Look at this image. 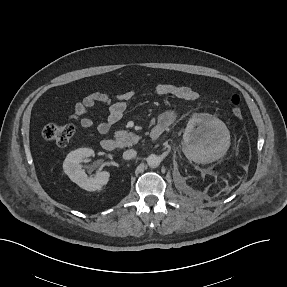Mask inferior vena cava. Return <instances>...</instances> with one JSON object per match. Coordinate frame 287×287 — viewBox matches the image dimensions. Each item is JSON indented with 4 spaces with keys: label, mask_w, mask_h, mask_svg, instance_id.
I'll use <instances>...</instances> for the list:
<instances>
[{
    "label": "inferior vena cava",
    "mask_w": 287,
    "mask_h": 287,
    "mask_svg": "<svg viewBox=\"0 0 287 287\" xmlns=\"http://www.w3.org/2000/svg\"><path fill=\"white\" fill-rule=\"evenodd\" d=\"M137 155V152L133 149H129V150H126L124 153H123V158L125 160H130L132 158H135Z\"/></svg>",
    "instance_id": "1"
}]
</instances>
